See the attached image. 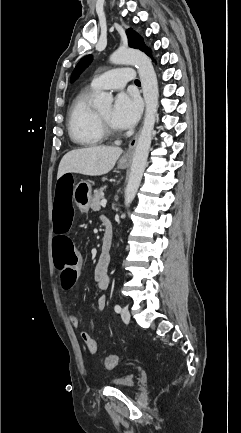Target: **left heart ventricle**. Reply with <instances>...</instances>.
<instances>
[{"instance_id": "left-heart-ventricle-1", "label": "left heart ventricle", "mask_w": 241, "mask_h": 433, "mask_svg": "<svg viewBox=\"0 0 241 433\" xmlns=\"http://www.w3.org/2000/svg\"><path fill=\"white\" fill-rule=\"evenodd\" d=\"M98 112L112 127H114L112 122H111V112H112L111 107H107V108L102 109Z\"/></svg>"}]
</instances>
